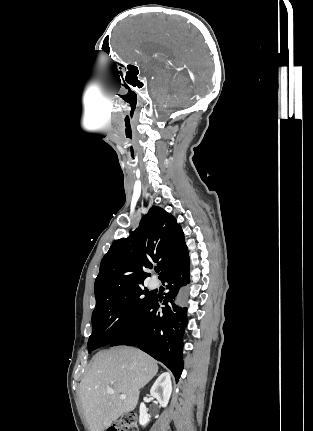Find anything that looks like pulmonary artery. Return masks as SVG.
Masks as SVG:
<instances>
[{
  "label": "pulmonary artery",
  "mask_w": 313,
  "mask_h": 431,
  "mask_svg": "<svg viewBox=\"0 0 313 431\" xmlns=\"http://www.w3.org/2000/svg\"><path fill=\"white\" fill-rule=\"evenodd\" d=\"M157 285H158V283L156 281H151V283H150V287L153 289L156 288Z\"/></svg>",
  "instance_id": "1"
}]
</instances>
